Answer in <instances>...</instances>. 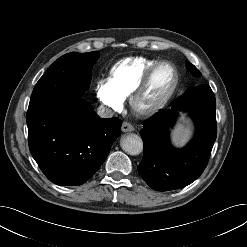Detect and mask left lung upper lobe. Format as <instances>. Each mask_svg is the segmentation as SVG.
Returning a JSON list of instances; mask_svg holds the SVG:
<instances>
[{"mask_svg":"<svg viewBox=\"0 0 247 247\" xmlns=\"http://www.w3.org/2000/svg\"><path fill=\"white\" fill-rule=\"evenodd\" d=\"M187 69L191 72V74L195 77H200L202 74L199 72V70L192 64H187ZM192 88H189L187 91L191 90ZM186 91V92H187Z\"/></svg>","mask_w":247,"mask_h":247,"instance_id":"obj_1","label":"left lung upper lobe"}]
</instances>
